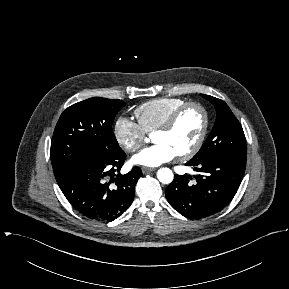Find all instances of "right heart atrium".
Instances as JSON below:
<instances>
[{
    "instance_id": "1",
    "label": "right heart atrium",
    "mask_w": 289,
    "mask_h": 289,
    "mask_svg": "<svg viewBox=\"0 0 289 289\" xmlns=\"http://www.w3.org/2000/svg\"><path fill=\"white\" fill-rule=\"evenodd\" d=\"M113 134L119 146L130 153L139 150L146 137V133L138 123L124 116L116 119Z\"/></svg>"
}]
</instances>
